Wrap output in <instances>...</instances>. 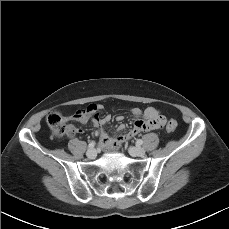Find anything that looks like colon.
I'll use <instances>...</instances> for the list:
<instances>
[{"label":"colon","instance_id":"obj_1","mask_svg":"<svg viewBox=\"0 0 229 229\" xmlns=\"http://www.w3.org/2000/svg\"><path fill=\"white\" fill-rule=\"evenodd\" d=\"M97 107L95 105H89L86 109H82L81 112L84 114H91L95 112ZM164 122V117L159 114L154 109L147 110L146 123L149 128H155L162 125ZM47 124L52 130V132L57 137H62L65 135L68 125L62 120L61 115L57 111H51L47 115ZM177 128V123L173 120L166 124V130L168 132H174Z\"/></svg>","mask_w":229,"mask_h":229}]
</instances>
